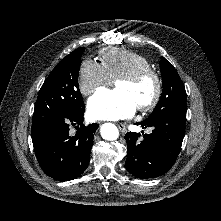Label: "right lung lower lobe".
<instances>
[{
    "instance_id": "1",
    "label": "right lung lower lobe",
    "mask_w": 221,
    "mask_h": 221,
    "mask_svg": "<svg viewBox=\"0 0 221 221\" xmlns=\"http://www.w3.org/2000/svg\"><path fill=\"white\" fill-rule=\"evenodd\" d=\"M84 111L58 117L31 133L37 161L49 177L69 181L80 176L89 164L94 133L98 124H83ZM75 126L74 136L69 133Z\"/></svg>"
}]
</instances>
